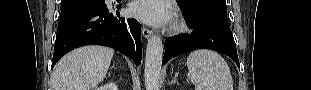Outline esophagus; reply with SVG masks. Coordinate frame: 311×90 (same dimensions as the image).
Here are the masks:
<instances>
[{
	"label": "esophagus",
	"instance_id": "34e87169",
	"mask_svg": "<svg viewBox=\"0 0 311 90\" xmlns=\"http://www.w3.org/2000/svg\"><path fill=\"white\" fill-rule=\"evenodd\" d=\"M142 34L147 39L151 36L152 32H151V30H149L148 28L143 26L142 27Z\"/></svg>",
	"mask_w": 311,
	"mask_h": 90
}]
</instances>
